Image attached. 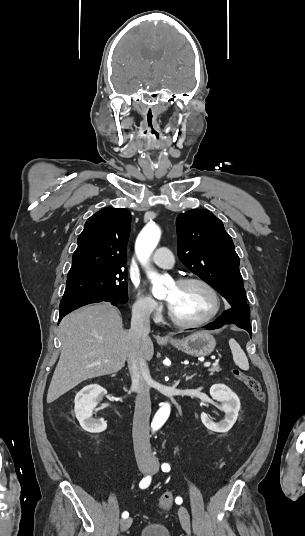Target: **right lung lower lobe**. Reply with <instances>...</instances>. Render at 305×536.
<instances>
[{"label":"right lung lower lobe","instance_id":"obj_1","mask_svg":"<svg viewBox=\"0 0 305 536\" xmlns=\"http://www.w3.org/2000/svg\"><path fill=\"white\" fill-rule=\"evenodd\" d=\"M102 301L111 302V304H113V305L123 304V303H120V302H117V301L103 300V299H97V298H69V299H62L61 302H60V307H59V309H60V311H59V322L65 315H67L71 311H73V310H75V309H77V308H79L81 306H84V305H87V304H90V303L102 302Z\"/></svg>","mask_w":305,"mask_h":536}]
</instances>
